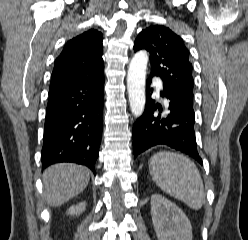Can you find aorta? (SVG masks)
I'll list each match as a JSON object with an SVG mask.
<instances>
[{
	"instance_id": "obj_1",
	"label": "aorta",
	"mask_w": 248,
	"mask_h": 240,
	"mask_svg": "<svg viewBox=\"0 0 248 240\" xmlns=\"http://www.w3.org/2000/svg\"><path fill=\"white\" fill-rule=\"evenodd\" d=\"M148 54L140 51L132 58L127 75V90L132 114L140 117L145 108V81Z\"/></svg>"
}]
</instances>
